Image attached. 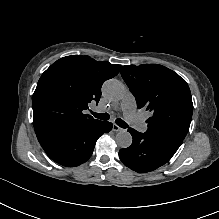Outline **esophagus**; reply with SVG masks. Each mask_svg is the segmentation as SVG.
Segmentation results:
<instances>
[{
    "mask_svg": "<svg viewBox=\"0 0 219 219\" xmlns=\"http://www.w3.org/2000/svg\"><path fill=\"white\" fill-rule=\"evenodd\" d=\"M112 129H113L114 132H121L123 130L117 124H113V128Z\"/></svg>",
    "mask_w": 219,
    "mask_h": 219,
    "instance_id": "1",
    "label": "esophagus"
}]
</instances>
